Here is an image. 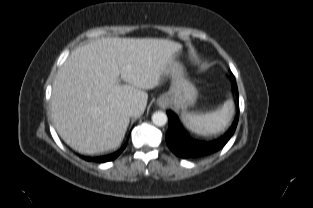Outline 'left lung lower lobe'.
I'll return each instance as SVG.
<instances>
[{"label":"left lung lower lobe","instance_id":"1","mask_svg":"<svg viewBox=\"0 0 313 208\" xmlns=\"http://www.w3.org/2000/svg\"><path fill=\"white\" fill-rule=\"evenodd\" d=\"M235 88L238 96L236 83ZM168 119L169 128L166 133L168 147L178 157L197 158L220 150L228 142L237 127L239 112L229 130L219 139L211 142L197 141L188 137L181 129L179 119L175 118L171 112H168Z\"/></svg>","mask_w":313,"mask_h":208}]
</instances>
